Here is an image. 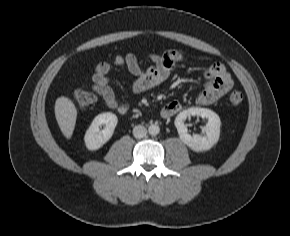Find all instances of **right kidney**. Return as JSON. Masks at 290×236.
Segmentation results:
<instances>
[{"mask_svg":"<svg viewBox=\"0 0 290 236\" xmlns=\"http://www.w3.org/2000/svg\"><path fill=\"white\" fill-rule=\"evenodd\" d=\"M117 122V116L111 112L97 115L85 133L84 141L86 147L89 150L101 148L112 137ZM102 125H105V127L100 130Z\"/></svg>","mask_w":290,"mask_h":236,"instance_id":"right-kidney-1","label":"right kidney"}]
</instances>
